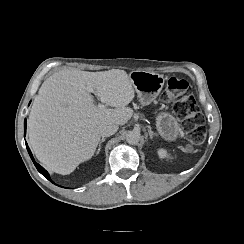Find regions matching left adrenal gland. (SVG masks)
Segmentation results:
<instances>
[{
    "label": "left adrenal gland",
    "mask_w": 244,
    "mask_h": 244,
    "mask_svg": "<svg viewBox=\"0 0 244 244\" xmlns=\"http://www.w3.org/2000/svg\"><path fill=\"white\" fill-rule=\"evenodd\" d=\"M150 139H153L154 137L158 139V136L156 134H153L151 131H149Z\"/></svg>",
    "instance_id": "left-adrenal-gland-1"
}]
</instances>
